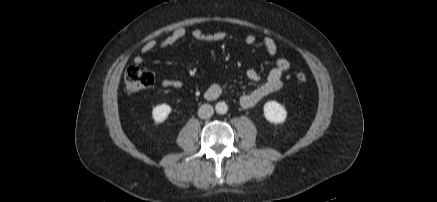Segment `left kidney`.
<instances>
[{
	"label": "left kidney",
	"instance_id": "obj_1",
	"mask_svg": "<svg viewBox=\"0 0 437 202\" xmlns=\"http://www.w3.org/2000/svg\"><path fill=\"white\" fill-rule=\"evenodd\" d=\"M264 116L271 123H283L287 116L285 107L276 101H268L264 105Z\"/></svg>",
	"mask_w": 437,
	"mask_h": 202
}]
</instances>
